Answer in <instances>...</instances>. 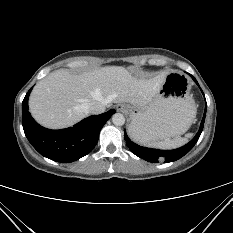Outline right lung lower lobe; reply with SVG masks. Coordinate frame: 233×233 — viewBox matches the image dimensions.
<instances>
[{"instance_id": "right-lung-lower-lobe-1", "label": "right lung lower lobe", "mask_w": 233, "mask_h": 233, "mask_svg": "<svg viewBox=\"0 0 233 233\" xmlns=\"http://www.w3.org/2000/svg\"><path fill=\"white\" fill-rule=\"evenodd\" d=\"M32 89V88H31ZM26 94L22 103V125L32 146L44 157L53 161L69 163L87 155L95 147L99 133L115 110L83 119L73 127L50 130L40 126L28 111Z\"/></svg>"}]
</instances>
